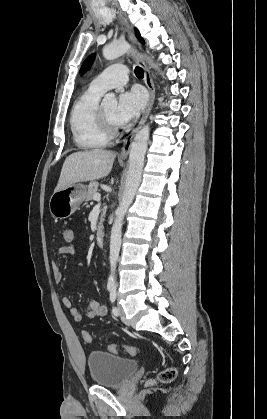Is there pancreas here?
<instances>
[{
    "label": "pancreas",
    "instance_id": "cf45deb5",
    "mask_svg": "<svg viewBox=\"0 0 267 419\" xmlns=\"http://www.w3.org/2000/svg\"><path fill=\"white\" fill-rule=\"evenodd\" d=\"M99 183L97 181H92L88 185V190L86 194V201H91L94 199V195L98 193ZM103 220V214L101 215L100 224Z\"/></svg>",
    "mask_w": 267,
    "mask_h": 419
}]
</instances>
